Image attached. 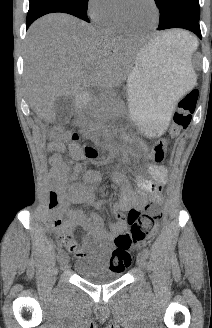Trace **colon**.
<instances>
[{
    "label": "colon",
    "mask_w": 212,
    "mask_h": 328,
    "mask_svg": "<svg viewBox=\"0 0 212 328\" xmlns=\"http://www.w3.org/2000/svg\"><path fill=\"white\" fill-rule=\"evenodd\" d=\"M197 101V90L189 91L179 100L177 109L172 117L169 137L159 139L152 147L151 158L156 164H160L164 160L170 140L189 127L196 110ZM50 137L57 145H60L68 139H71L73 142H78V136L76 134L70 137L61 128H54L50 133ZM84 151L88 158L97 156V151L91 146H85ZM56 203V195L52 193L50 196L51 207H54ZM161 216V208L156 202L149 203L141 209H131L127 215L130 230L119 234L115 238L116 248L112 252L110 263L113 264L114 262H118V266L120 267H129L131 264L130 250L142 245L156 233L158 229L157 222L160 220ZM61 223V218H56L54 220V225L56 227H59ZM59 238L71 251L79 253L78 245L70 231L63 229Z\"/></svg>",
    "instance_id": "1"
}]
</instances>
